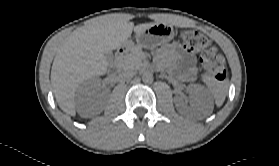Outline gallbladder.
Instances as JSON below:
<instances>
[{"label":"gallbladder","instance_id":"1","mask_svg":"<svg viewBox=\"0 0 279 166\" xmlns=\"http://www.w3.org/2000/svg\"><path fill=\"white\" fill-rule=\"evenodd\" d=\"M106 60L111 63L114 59V55L111 51L104 53Z\"/></svg>","mask_w":279,"mask_h":166}]
</instances>
